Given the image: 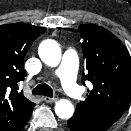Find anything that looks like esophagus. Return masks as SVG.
Segmentation results:
<instances>
[{
	"label": "esophagus",
	"instance_id": "esophagus-1",
	"mask_svg": "<svg viewBox=\"0 0 131 131\" xmlns=\"http://www.w3.org/2000/svg\"><path fill=\"white\" fill-rule=\"evenodd\" d=\"M43 100L47 103H52L58 100V96H54L53 98L50 97H44Z\"/></svg>",
	"mask_w": 131,
	"mask_h": 131
}]
</instances>
